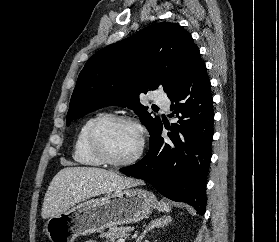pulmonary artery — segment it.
<instances>
[{
    "label": "pulmonary artery",
    "mask_w": 279,
    "mask_h": 242,
    "mask_svg": "<svg viewBox=\"0 0 279 242\" xmlns=\"http://www.w3.org/2000/svg\"><path fill=\"white\" fill-rule=\"evenodd\" d=\"M153 100L158 106H160L163 109H165L166 111H168V109H169V99L164 93H162L160 91H157L154 95Z\"/></svg>",
    "instance_id": "e3ab8cb5"
}]
</instances>
